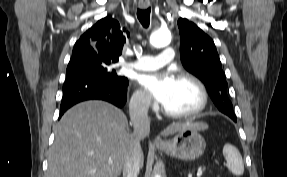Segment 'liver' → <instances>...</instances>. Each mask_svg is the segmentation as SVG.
<instances>
[{
  "mask_svg": "<svg viewBox=\"0 0 287 177\" xmlns=\"http://www.w3.org/2000/svg\"><path fill=\"white\" fill-rule=\"evenodd\" d=\"M127 124L125 114L109 103L94 100L75 105L55 127L46 177H118L134 142ZM187 127L205 130L208 125L177 122L162 135ZM143 160L142 154L141 166Z\"/></svg>",
  "mask_w": 287,
  "mask_h": 177,
  "instance_id": "obj_1",
  "label": "liver"
}]
</instances>
